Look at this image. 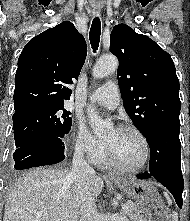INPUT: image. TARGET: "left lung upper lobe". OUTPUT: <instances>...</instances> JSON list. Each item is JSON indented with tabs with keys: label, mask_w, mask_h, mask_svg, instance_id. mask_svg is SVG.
Returning <instances> with one entry per match:
<instances>
[{
	"label": "left lung upper lobe",
	"mask_w": 190,
	"mask_h": 221,
	"mask_svg": "<svg viewBox=\"0 0 190 221\" xmlns=\"http://www.w3.org/2000/svg\"><path fill=\"white\" fill-rule=\"evenodd\" d=\"M110 51L119 60L125 110L143 136L163 125L180 127V87L170 54L125 24L113 28Z\"/></svg>",
	"instance_id": "left-lung-upper-lobe-1"
}]
</instances>
